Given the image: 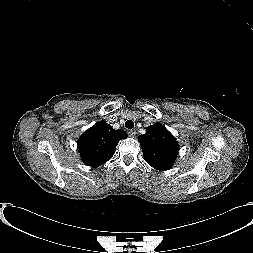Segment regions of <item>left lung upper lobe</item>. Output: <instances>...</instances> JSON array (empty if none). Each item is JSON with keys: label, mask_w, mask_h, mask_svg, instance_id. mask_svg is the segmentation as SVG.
Returning <instances> with one entry per match:
<instances>
[{"label": "left lung upper lobe", "mask_w": 253, "mask_h": 253, "mask_svg": "<svg viewBox=\"0 0 253 253\" xmlns=\"http://www.w3.org/2000/svg\"><path fill=\"white\" fill-rule=\"evenodd\" d=\"M144 159L157 170H168L176 160L179 146L173 135L160 123L146 128L138 137Z\"/></svg>", "instance_id": "left-lung-upper-lobe-1"}]
</instances>
